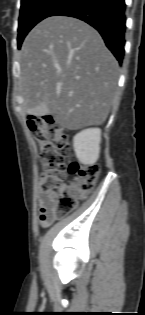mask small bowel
<instances>
[{"mask_svg":"<svg viewBox=\"0 0 145 315\" xmlns=\"http://www.w3.org/2000/svg\"><path fill=\"white\" fill-rule=\"evenodd\" d=\"M56 197V192H51L49 194L41 192L38 195L39 221L44 227L51 225L56 219V214L54 210V201ZM46 199H49V204H46Z\"/></svg>","mask_w":145,"mask_h":315,"instance_id":"small-bowel-1","label":"small bowel"}]
</instances>
